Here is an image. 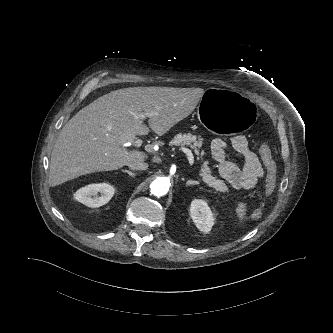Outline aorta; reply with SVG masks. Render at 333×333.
Masks as SVG:
<instances>
[{
  "instance_id": "1",
  "label": "aorta",
  "mask_w": 333,
  "mask_h": 333,
  "mask_svg": "<svg viewBox=\"0 0 333 333\" xmlns=\"http://www.w3.org/2000/svg\"><path fill=\"white\" fill-rule=\"evenodd\" d=\"M170 187L169 181L164 178H156L150 184L151 193L155 196H164L168 193Z\"/></svg>"
}]
</instances>
